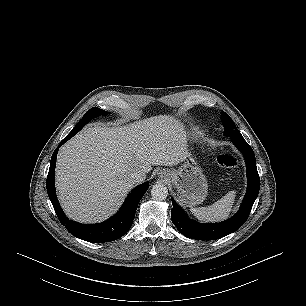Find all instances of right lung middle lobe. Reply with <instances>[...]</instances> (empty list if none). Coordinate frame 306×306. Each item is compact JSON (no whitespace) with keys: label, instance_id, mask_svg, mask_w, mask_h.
Returning <instances> with one entry per match:
<instances>
[{"label":"right lung middle lobe","instance_id":"obj_1","mask_svg":"<svg viewBox=\"0 0 306 306\" xmlns=\"http://www.w3.org/2000/svg\"><path fill=\"white\" fill-rule=\"evenodd\" d=\"M108 112L101 110L100 108L93 107L91 108L83 118L78 122V124L71 130L68 134L69 136H74L83 126H85L93 117L99 115H106Z\"/></svg>","mask_w":306,"mask_h":306}]
</instances>
